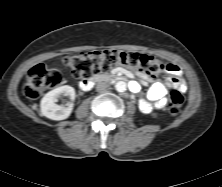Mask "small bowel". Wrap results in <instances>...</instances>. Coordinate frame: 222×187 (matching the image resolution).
I'll return each mask as SVG.
<instances>
[{
	"instance_id": "obj_1",
	"label": "small bowel",
	"mask_w": 222,
	"mask_h": 187,
	"mask_svg": "<svg viewBox=\"0 0 222 187\" xmlns=\"http://www.w3.org/2000/svg\"><path fill=\"white\" fill-rule=\"evenodd\" d=\"M166 72L170 75L166 82L158 81L153 77L140 74V77L149 82L151 85L147 91L146 98L141 99L139 107L144 113H150L153 109H163L166 106L165 96L167 88L170 85L176 86L181 90L186 89V83L180 79L181 69L173 63L167 64ZM138 90V86H134Z\"/></svg>"
}]
</instances>
